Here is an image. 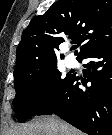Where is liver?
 <instances>
[{
    "instance_id": "1",
    "label": "liver",
    "mask_w": 112,
    "mask_h": 135,
    "mask_svg": "<svg viewBox=\"0 0 112 135\" xmlns=\"http://www.w3.org/2000/svg\"><path fill=\"white\" fill-rule=\"evenodd\" d=\"M14 135H83L80 131L55 116L35 119L15 131Z\"/></svg>"
}]
</instances>
